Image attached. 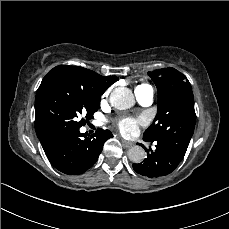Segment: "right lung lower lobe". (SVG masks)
<instances>
[{"instance_id": "1", "label": "right lung lower lobe", "mask_w": 229, "mask_h": 229, "mask_svg": "<svg viewBox=\"0 0 229 229\" xmlns=\"http://www.w3.org/2000/svg\"><path fill=\"white\" fill-rule=\"evenodd\" d=\"M113 137L109 130L98 129L91 137L79 129L68 131L43 148L50 163L60 172L77 175L97 161L106 140Z\"/></svg>"}]
</instances>
